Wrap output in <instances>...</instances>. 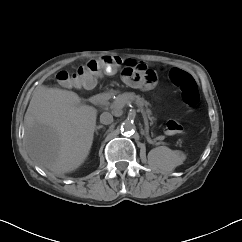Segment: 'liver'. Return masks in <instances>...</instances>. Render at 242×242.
I'll return each instance as SVG.
<instances>
[{
    "instance_id": "1",
    "label": "liver",
    "mask_w": 242,
    "mask_h": 242,
    "mask_svg": "<svg viewBox=\"0 0 242 242\" xmlns=\"http://www.w3.org/2000/svg\"><path fill=\"white\" fill-rule=\"evenodd\" d=\"M97 110L68 90L38 86L24 116L30 158L55 175L70 173L89 155Z\"/></svg>"
}]
</instances>
